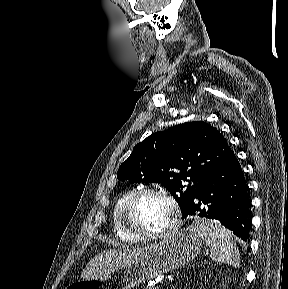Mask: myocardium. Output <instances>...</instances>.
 <instances>
[{"instance_id":"myocardium-1","label":"myocardium","mask_w":288,"mask_h":289,"mask_svg":"<svg viewBox=\"0 0 288 289\" xmlns=\"http://www.w3.org/2000/svg\"><path fill=\"white\" fill-rule=\"evenodd\" d=\"M146 195H152L159 197L163 200H165L168 205L170 206L171 212H172V219L169 225L154 233H145L142 231L137 230L134 226H132L130 220H129V212L135 202ZM120 222L124 230L130 234L132 237L138 239V240H158L162 238H166L173 234L177 228L179 227L180 222V207L177 203V201L166 191L161 189H156L152 187H145L139 190L134 191V193L124 202L120 209Z\"/></svg>"}]
</instances>
